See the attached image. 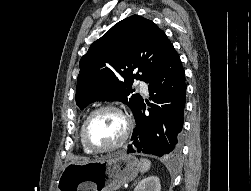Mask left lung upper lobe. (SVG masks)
Listing matches in <instances>:
<instances>
[{"label":"left lung upper lobe","instance_id":"obj_1","mask_svg":"<svg viewBox=\"0 0 251 191\" xmlns=\"http://www.w3.org/2000/svg\"><path fill=\"white\" fill-rule=\"evenodd\" d=\"M173 45L151 20L133 15L115 24L80 60L76 104L120 100L134 117L143 98L132 94L134 79L149 82Z\"/></svg>","mask_w":251,"mask_h":191}]
</instances>
